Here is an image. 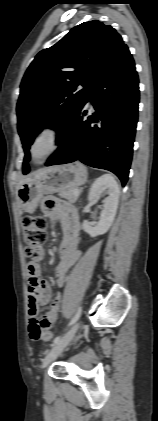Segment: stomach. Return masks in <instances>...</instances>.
I'll use <instances>...</instances> for the list:
<instances>
[{
	"label": "stomach",
	"instance_id": "obj_1",
	"mask_svg": "<svg viewBox=\"0 0 158 421\" xmlns=\"http://www.w3.org/2000/svg\"><path fill=\"white\" fill-rule=\"evenodd\" d=\"M87 180L86 168L80 162L51 167L39 178L18 187V201L25 212L33 213L44 194L77 188Z\"/></svg>",
	"mask_w": 158,
	"mask_h": 421
}]
</instances>
